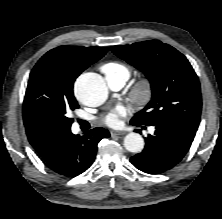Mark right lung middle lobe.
Here are the masks:
<instances>
[{"instance_id": "1", "label": "right lung middle lobe", "mask_w": 222, "mask_h": 219, "mask_svg": "<svg viewBox=\"0 0 222 219\" xmlns=\"http://www.w3.org/2000/svg\"><path fill=\"white\" fill-rule=\"evenodd\" d=\"M59 65V60L55 57H42L35 65L24 98L23 115L70 129L73 119L68 117V112L79 106L72 91L61 89L54 82Z\"/></svg>"}]
</instances>
